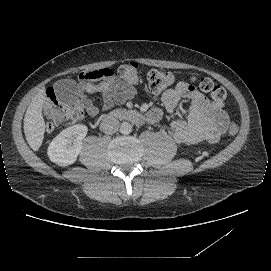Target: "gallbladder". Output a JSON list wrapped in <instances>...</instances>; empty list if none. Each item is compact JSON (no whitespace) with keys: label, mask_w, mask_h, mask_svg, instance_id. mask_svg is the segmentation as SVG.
<instances>
[{"label":"gallbladder","mask_w":271,"mask_h":271,"mask_svg":"<svg viewBox=\"0 0 271 271\" xmlns=\"http://www.w3.org/2000/svg\"><path fill=\"white\" fill-rule=\"evenodd\" d=\"M56 99L67 108L78 106L82 100V88L72 79H61L54 83Z\"/></svg>","instance_id":"bac80fb5"}]
</instances>
